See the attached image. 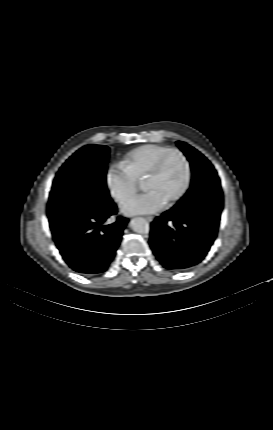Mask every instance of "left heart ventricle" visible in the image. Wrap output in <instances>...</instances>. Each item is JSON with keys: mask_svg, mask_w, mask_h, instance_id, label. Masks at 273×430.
Wrapping results in <instances>:
<instances>
[{"mask_svg": "<svg viewBox=\"0 0 273 430\" xmlns=\"http://www.w3.org/2000/svg\"><path fill=\"white\" fill-rule=\"evenodd\" d=\"M185 166L177 155H172L167 160L162 173L144 183L146 191H156L167 203L181 189L185 181Z\"/></svg>", "mask_w": 273, "mask_h": 430, "instance_id": "left-heart-ventricle-1", "label": "left heart ventricle"}]
</instances>
